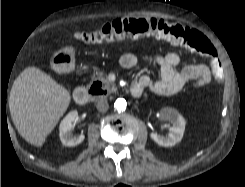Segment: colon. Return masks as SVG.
I'll return each instance as SVG.
<instances>
[{
  "label": "colon",
  "mask_w": 245,
  "mask_h": 187,
  "mask_svg": "<svg viewBox=\"0 0 245 187\" xmlns=\"http://www.w3.org/2000/svg\"><path fill=\"white\" fill-rule=\"evenodd\" d=\"M145 35L165 39L200 53L209 60L215 74L221 76L220 61L214 45L203 33L181 23L153 18H119L94 31L75 32L72 39L86 44L101 45L137 39Z\"/></svg>",
  "instance_id": "1"
}]
</instances>
